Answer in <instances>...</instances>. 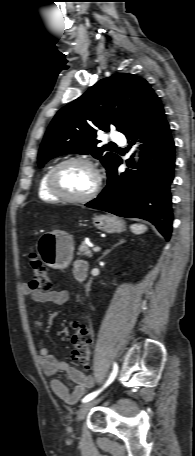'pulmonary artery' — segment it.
<instances>
[{
  "label": "pulmonary artery",
  "mask_w": 195,
  "mask_h": 456,
  "mask_svg": "<svg viewBox=\"0 0 195 456\" xmlns=\"http://www.w3.org/2000/svg\"><path fill=\"white\" fill-rule=\"evenodd\" d=\"M110 138L112 141L117 142V143H124L125 142V137L123 134L120 132L114 131L111 133Z\"/></svg>",
  "instance_id": "pulmonary-artery-1"
}]
</instances>
